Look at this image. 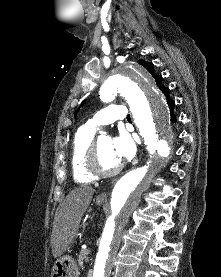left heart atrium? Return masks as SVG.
I'll return each instance as SVG.
<instances>
[{
  "instance_id": "obj_1",
  "label": "left heart atrium",
  "mask_w": 221,
  "mask_h": 277,
  "mask_svg": "<svg viewBox=\"0 0 221 277\" xmlns=\"http://www.w3.org/2000/svg\"><path fill=\"white\" fill-rule=\"evenodd\" d=\"M111 141L114 152L120 161L129 160L134 156L135 147L127 135L121 134Z\"/></svg>"
}]
</instances>
